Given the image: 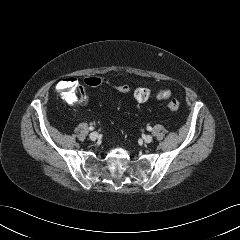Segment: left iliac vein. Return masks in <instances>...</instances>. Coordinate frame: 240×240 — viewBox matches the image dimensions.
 <instances>
[{
    "label": "left iliac vein",
    "instance_id": "left-iliac-vein-1",
    "mask_svg": "<svg viewBox=\"0 0 240 240\" xmlns=\"http://www.w3.org/2000/svg\"><path fill=\"white\" fill-rule=\"evenodd\" d=\"M143 140L145 143H150L153 140V137L151 135H144Z\"/></svg>",
    "mask_w": 240,
    "mask_h": 240
}]
</instances>
